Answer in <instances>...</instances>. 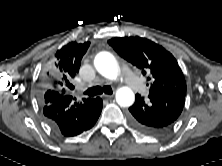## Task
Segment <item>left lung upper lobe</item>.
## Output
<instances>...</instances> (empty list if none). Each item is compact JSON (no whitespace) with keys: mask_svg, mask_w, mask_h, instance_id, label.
Wrapping results in <instances>:
<instances>
[{"mask_svg":"<svg viewBox=\"0 0 222 166\" xmlns=\"http://www.w3.org/2000/svg\"><path fill=\"white\" fill-rule=\"evenodd\" d=\"M109 45L128 62L151 74L153 84L149 95L159 92H176L186 95V82L173 55L162 46L141 37H115ZM148 80L150 78L148 77Z\"/></svg>","mask_w":222,"mask_h":166,"instance_id":"left-lung-upper-lobe-1","label":"left lung upper lobe"}]
</instances>
